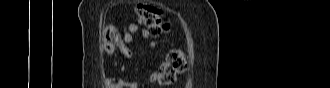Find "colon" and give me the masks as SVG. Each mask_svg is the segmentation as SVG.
Segmentation results:
<instances>
[{
  "label": "colon",
  "instance_id": "1",
  "mask_svg": "<svg viewBox=\"0 0 330 88\" xmlns=\"http://www.w3.org/2000/svg\"><path fill=\"white\" fill-rule=\"evenodd\" d=\"M136 16L138 23L144 26L152 37H157L170 29V23L163 19L162 11L154 6L139 4L136 7ZM121 37V32L116 26L106 25L102 29V44L105 51H112ZM187 67L186 54L181 49L175 48L168 52L159 66L150 71V79L160 86H170Z\"/></svg>",
  "mask_w": 330,
  "mask_h": 88
}]
</instances>
